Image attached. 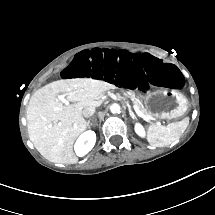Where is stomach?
<instances>
[{
    "mask_svg": "<svg viewBox=\"0 0 215 215\" xmlns=\"http://www.w3.org/2000/svg\"><path fill=\"white\" fill-rule=\"evenodd\" d=\"M144 104L153 117L162 119H177L188 109L187 98L181 92L167 88L148 92Z\"/></svg>",
    "mask_w": 215,
    "mask_h": 215,
    "instance_id": "stomach-1",
    "label": "stomach"
}]
</instances>
